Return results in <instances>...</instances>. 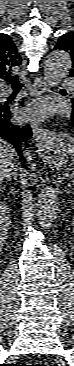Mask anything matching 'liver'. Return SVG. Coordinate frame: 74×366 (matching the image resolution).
<instances>
[{
    "label": "liver",
    "instance_id": "liver-1",
    "mask_svg": "<svg viewBox=\"0 0 74 366\" xmlns=\"http://www.w3.org/2000/svg\"><path fill=\"white\" fill-rule=\"evenodd\" d=\"M17 152L12 145L0 140V180H4L16 171Z\"/></svg>",
    "mask_w": 74,
    "mask_h": 366
}]
</instances>
